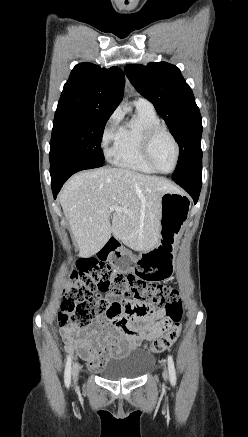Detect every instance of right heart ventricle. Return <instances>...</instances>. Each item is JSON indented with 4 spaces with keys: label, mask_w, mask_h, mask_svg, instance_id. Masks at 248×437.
<instances>
[{
    "label": "right heart ventricle",
    "mask_w": 248,
    "mask_h": 437,
    "mask_svg": "<svg viewBox=\"0 0 248 437\" xmlns=\"http://www.w3.org/2000/svg\"><path fill=\"white\" fill-rule=\"evenodd\" d=\"M160 124L154 109L136 107L133 120L120 126L118 139L112 149L111 158L119 167L144 174H153L142 155L144 132L151 126Z\"/></svg>",
    "instance_id": "e07e8e85"
}]
</instances>
